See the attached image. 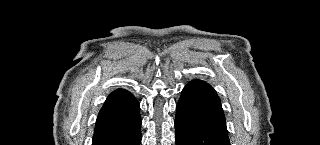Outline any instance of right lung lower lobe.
<instances>
[{
    "mask_svg": "<svg viewBox=\"0 0 320 145\" xmlns=\"http://www.w3.org/2000/svg\"><path fill=\"white\" fill-rule=\"evenodd\" d=\"M141 118L139 102L124 90L113 91L101 108L92 145H140Z\"/></svg>",
    "mask_w": 320,
    "mask_h": 145,
    "instance_id": "obj_1",
    "label": "right lung lower lobe"
}]
</instances>
